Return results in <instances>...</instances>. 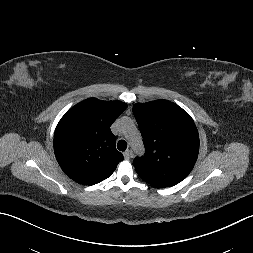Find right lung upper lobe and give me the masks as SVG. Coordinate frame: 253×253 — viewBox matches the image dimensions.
<instances>
[{
	"mask_svg": "<svg viewBox=\"0 0 253 253\" xmlns=\"http://www.w3.org/2000/svg\"><path fill=\"white\" fill-rule=\"evenodd\" d=\"M126 108L121 101L89 98L61 118L54 134V152L72 180L94 185L112 175L123 155L116 150L110 126Z\"/></svg>",
	"mask_w": 253,
	"mask_h": 253,
	"instance_id": "right-lung-upper-lobe-1",
	"label": "right lung upper lobe"
}]
</instances>
